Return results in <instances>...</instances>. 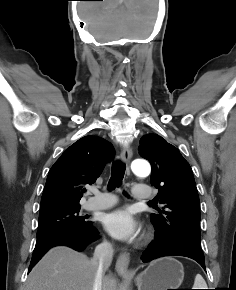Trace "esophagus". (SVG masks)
<instances>
[{
    "label": "esophagus",
    "instance_id": "34e87169",
    "mask_svg": "<svg viewBox=\"0 0 236 290\" xmlns=\"http://www.w3.org/2000/svg\"><path fill=\"white\" fill-rule=\"evenodd\" d=\"M132 155H133L132 149L128 146H125L121 151L120 157L121 160L128 165L131 161ZM129 261L130 259L128 253L126 252L120 253L115 264V269L118 274L120 275L131 274V272L128 269Z\"/></svg>",
    "mask_w": 236,
    "mask_h": 290
}]
</instances>
